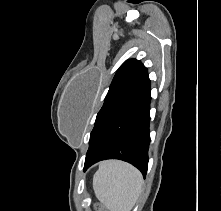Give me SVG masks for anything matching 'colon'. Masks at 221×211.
I'll list each match as a JSON object with an SVG mask.
<instances>
[{"label": "colon", "mask_w": 221, "mask_h": 211, "mask_svg": "<svg viewBox=\"0 0 221 211\" xmlns=\"http://www.w3.org/2000/svg\"><path fill=\"white\" fill-rule=\"evenodd\" d=\"M95 208H96V211H104V209L98 204L95 206Z\"/></svg>", "instance_id": "5ec220e1"}]
</instances>
